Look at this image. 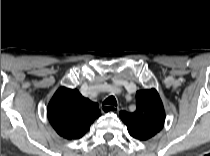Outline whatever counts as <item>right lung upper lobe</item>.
<instances>
[{
    "label": "right lung upper lobe",
    "mask_w": 210,
    "mask_h": 156,
    "mask_svg": "<svg viewBox=\"0 0 210 156\" xmlns=\"http://www.w3.org/2000/svg\"><path fill=\"white\" fill-rule=\"evenodd\" d=\"M48 119L65 139L81 138L101 115L98 104L84 98L77 89L59 88L47 108Z\"/></svg>",
    "instance_id": "cb5924a9"
}]
</instances>
